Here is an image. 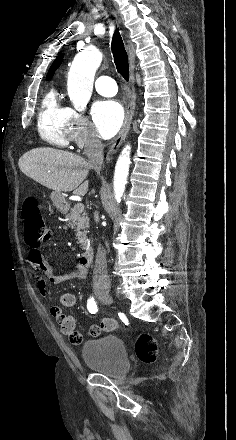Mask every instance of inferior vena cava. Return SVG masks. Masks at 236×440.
I'll use <instances>...</instances> for the list:
<instances>
[{"label":"inferior vena cava","mask_w":236,"mask_h":440,"mask_svg":"<svg viewBox=\"0 0 236 440\" xmlns=\"http://www.w3.org/2000/svg\"><path fill=\"white\" fill-rule=\"evenodd\" d=\"M85 154L88 157V165L97 173L101 170L103 162V144L95 136L86 141ZM110 280L107 274L106 251L99 245L96 254L95 267L93 272V288H110Z\"/></svg>","instance_id":"obj_1"}]
</instances>
